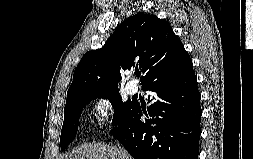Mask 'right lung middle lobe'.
<instances>
[{"instance_id":"1","label":"right lung middle lobe","mask_w":253,"mask_h":159,"mask_svg":"<svg viewBox=\"0 0 253 159\" xmlns=\"http://www.w3.org/2000/svg\"><path fill=\"white\" fill-rule=\"evenodd\" d=\"M95 98L108 99L114 108L113 125H121L135 102H123L118 90L102 92L94 95L74 99L66 104L64 108V122L61 131L60 145L64 150L75 138L78 129V120L83 108Z\"/></svg>"}]
</instances>
